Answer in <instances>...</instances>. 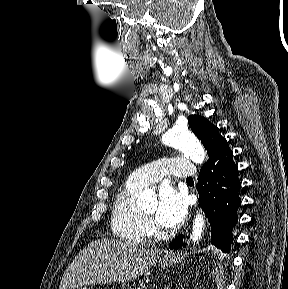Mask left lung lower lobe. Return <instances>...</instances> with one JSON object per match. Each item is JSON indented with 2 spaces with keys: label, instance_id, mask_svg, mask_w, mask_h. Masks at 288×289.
<instances>
[{
  "label": "left lung lower lobe",
  "instance_id": "obj_1",
  "mask_svg": "<svg viewBox=\"0 0 288 289\" xmlns=\"http://www.w3.org/2000/svg\"><path fill=\"white\" fill-rule=\"evenodd\" d=\"M237 173L233 151L224 138L202 166L196 185L200 194L199 204L211 223V243L224 252H229L233 241L231 232L237 224V210L241 204V183ZM183 245V236L180 235L169 247L176 250Z\"/></svg>",
  "mask_w": 288,
  "mask_h": 289
}]
</instances>
